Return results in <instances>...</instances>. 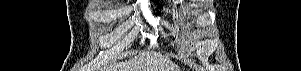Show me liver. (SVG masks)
<instances>
[{
  "instance_id": "6515ba94",
  "label": "liver",
  "mask_w": 301,
  "mask_h": 71,
  "mask_svg": "<svg viewBox=\"0 0 301 71\" xmlns=\"http://www.w3.org/2000/svg\"><path fill=\"white\" fill-rule=\"evenodd\" d=\"M156 69H166L159 71H180L179 67L170 60L161 56L155 57L149 52H143L132 61L113 65L104 71H158Z\"/></svg>"
}]
</instances>
